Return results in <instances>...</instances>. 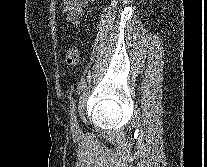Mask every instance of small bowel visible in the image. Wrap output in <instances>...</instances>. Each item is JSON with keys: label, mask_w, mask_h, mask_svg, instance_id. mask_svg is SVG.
Returning a JSON list of instances; mask_svg holds the SVG:
<instances>
[{"label": "small bowel", "mask_w": 207, "mask_h": 167, "mask_svg": "<svg viewBox=\"0 0 207 167\" xmlns=\"http://www.w3.org/2000/svg\"><path fill=\"white\" fill-rule=\"evenodd\" d=\"M94 2L95 0H62L63 12L69 21L77 22Z\"/></svg>", "instance_id": "1"}]
</instances>
